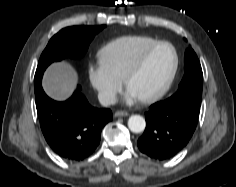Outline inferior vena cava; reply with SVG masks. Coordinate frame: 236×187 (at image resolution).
I'll list each match as a JSON object with an SVG mask.
<instances>
[{
	"instance_id": "602c4592",
	"label": "inferior vena cava",
	"mask_w": 236,
	"mask_h": 187,
	"mask_svg": "<svg viewBox=\"0 0 236 187\" xmlns=\"http://www.w3.org/2000/svg\"><path fill=\"white\" fill-rule=\"evenodd\" d=\"M98 100L102 106H109L116 103L117 98L114 93L100 92L98 94Z\"/></svg>"
}]
</instances>
